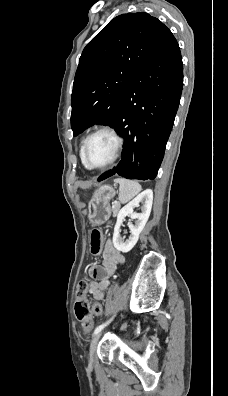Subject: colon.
Listing matches in <instances>:
<instances>
[{
	"label": "colon",
	"mask_w": 228,
	"mask_h": 396,
	"mask_svg": "<svg viewBox=\"0 0 228 396\" xmlns=\"http://www.w3.org/2000/svg\"><path fill=\"white\" fill-rule=\"evenodd\" d=\"M103 236L99 228H95L91 234V253L98 255L101 251ZM88 283L81 280L77 287L76 300L74 303V313L76 319L81 323L83 329L89 332L93 327V316H98L102 312L101 305L90 303L87 299Z\"/></svg>",
	"instance_id": "colon-1"
}]
</instances>
